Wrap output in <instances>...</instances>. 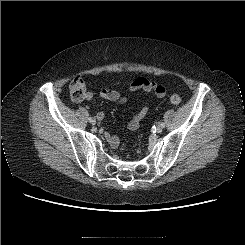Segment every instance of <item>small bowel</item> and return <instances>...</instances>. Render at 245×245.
Returning a JSON list of instances; mask_svg holds the SVG:
<instances>
[{
  "label": "small bowel",
  "instance_id": "small-bowel-1",
  "mask_svg": "<svg viewBox=\"0 0 245 245\" xmlns=\"http://www.w3.org/2000/svg\"><path fill=\"white\" fill-rule=\"evenodd\" d=\"M139 80L140 79H137L131 84L130 89H129L131 94H133V93H135V92H137V91L142 89V90H144L146 92L154 91L155 95L158 98H162V97L165 96V91L164 92H157L153 88L141 86L140 84H138ZM100 96L103 99H105V100L116 102V103H119V104H124V103H126L128 101V97L123 96L119 92L114 91V90H110V89H102L100 91ZM87 98L91 99L92 98V94L89 93L87 95ZM149 110H150V105H145L140 110L136 111L134 116L132 117V119L130 120V122L128 124L129 129H131V130L138 129V127L140 126L141 121L146 116V114L149 112ZM97 118L99 120H102L104 118V114L103 113H99L97 115ZM106 139H107V141L109 142V144L112 147H116L118 145V143H119V140H118V138L116 136L106 135Z\"/></svg>",
  "mask_w": 245,
  "mask_h": 245
}]
</instances>
